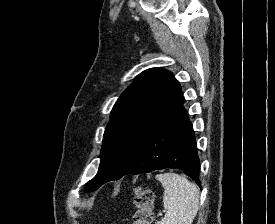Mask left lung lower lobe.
Listing matches in <instances>:
<instances>
[{"label":"left lung lower lobe","mask_w":275,"mask_h":224,"mask_svg":"<svg viewBox=\"0 0 275 224\" xmlns=\"http://www.w3.org/2000/svg\"><path fill=\"white\" fill-rule=\"evenodd\" d=\"M184 102L183 98L159 123L124 175L177 168L201 188L200 160L193 126L183 106ZM110 180L112 179H104L99 187Z\"/></svg>","instance_id":"obj_1"}]
</instances>
